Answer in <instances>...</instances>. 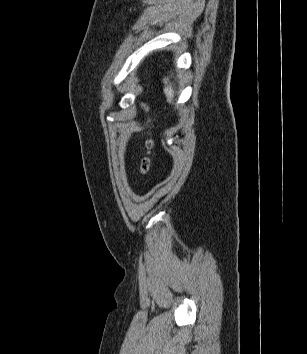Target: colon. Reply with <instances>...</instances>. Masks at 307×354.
Returning a JSON list of instances; mask_svg holds the SVG:
<instances>
[{
  "instance_id": "1",
  "label": "colon",
  "mask_w": 307,
  "mask_h": 354,
  "mask_svg": "<svg viewBox=\"0 0 307 354\" xmlns=\"http://www.w3.org/2000/svg\"><path fill=\"white\" fill-rule=\"evenodd\" d=\"M138 93H139V95L142 94V89L140 87L138 88ZM142 107L144 110L147 109V105L145 103H142ZM153 146H154V142H153L152 138H149L146 141V155L142 159L141 166H140V170H141L142 174H147L150 170V167H151L150 156L152 153Z\"/></svg>"
}]
</instances>
